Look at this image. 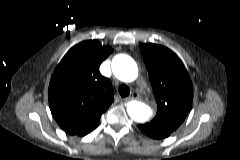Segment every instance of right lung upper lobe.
Masks as SVG:
<instances>
[{
  "mask_svg": "<svg viewBox=\"0 0 240 160\" xmlns=\"http://www.w3.org/2000/svg\"><path fill=\"white\" fill-rule=\"evenodd\" d=\"M111 52L97 40L83 41L54 70L48 89L50 110L67 134L78 135L97 126L114 101L111 81L99 72Z\"/></svg>",
  "mask_w": 240,
  "mask_h": 160,
  "instance_id": "cb5924a9",
  "label": "right lung upper lobe"
}]
</instances>
